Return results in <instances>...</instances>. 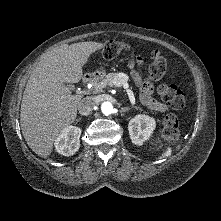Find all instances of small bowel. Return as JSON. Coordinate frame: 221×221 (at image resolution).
Listing matches in <instances>:
<instances>
[{"label": "small bowel", "mask_w": 221, "mask_h": 221, "mask_svg": "<svg viewBox=\"0 0 221 221\" xmlns=\"http://www.w3.org/2000/svg\"><path fill=\"white\" fill-rule=\"evenodd\" d=\"M141 63L142 59L139 56L132 58L129 62V67L131 69V76L135 81V83L140 88V99L142 103L146 105L148 108L159 112H165L168 109L167 105L152 97L153 93L152 85L148 82H145L142 79L141 73L139 71Z\"/></svg>", "instance_id": "obj_1"}]
</instances>
